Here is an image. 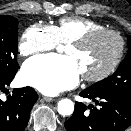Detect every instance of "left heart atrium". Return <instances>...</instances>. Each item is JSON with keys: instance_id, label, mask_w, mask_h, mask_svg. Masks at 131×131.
<instances>
[{"instance_id": "obj_1", "label": "left heart atrium", "mask_w": 131, "mask_h": 131, "mask_svg": "<svg viewBox=\"0 0 131 131\" xmlns=\"http://www.w3.org/2000/svg\"><path fill=\"white\" fill-rule=\"evenodd\" d=\"M21 78L25 84L44 94L56 95L79 82L80 70L69 56L40 55L24 64Z\"/></svg>"}]
</instances>
